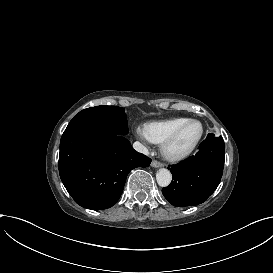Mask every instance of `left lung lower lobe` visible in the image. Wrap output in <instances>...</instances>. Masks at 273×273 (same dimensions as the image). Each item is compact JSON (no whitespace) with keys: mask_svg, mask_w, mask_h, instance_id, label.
<instances>
[{"mask_svg":"<svg viewBox=\"0 0 273 273\" xmlns=\"http://www.w3.org/2000/svg\"><path fill=\"white\" fill-rule=\"evenodd\" d=\"M224 159L225 144L222 136L216 137L209 133L199 145L195 156L171 166L173 180L162 189L164 197L176 207L203 203L220 183Z\"/></svg>","mask_w":273,"mask_h":273,"instance_id":"0a47b994","label":"left lung lower lobe"}]
</instances>
